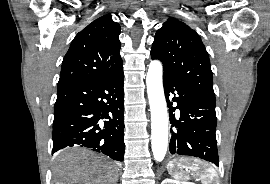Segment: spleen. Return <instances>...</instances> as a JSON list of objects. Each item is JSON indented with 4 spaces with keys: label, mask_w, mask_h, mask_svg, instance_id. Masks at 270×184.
Wrapping results in <instances>:
<instances>
[{
    "label": "spleen",
    "mask_w": 270,
    "mask_h": 184,
    "mask_svg": "<svg viewBox=\"0 0 270 184\" xmlns=\"http://www.w3.org/2000/svg\"><path fill=\"white\" fill-rule=\"evenodd\" d=\"M182 161L186 170L181 173V176L174 177L176 180L185 184H195L187 181L190 174L192 177L199 178L202 184H219L217 172L212 167L200 165L197 162L188 163L186 159H182Z\"/></svg>",
    "instance_id": "obj_1"
}]
</instances>
